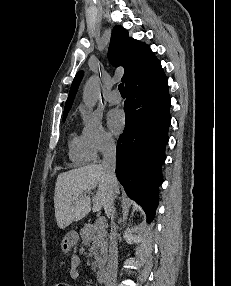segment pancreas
<instances>
[{
	"label": "pancreas",
	"instance_id": "obj_1",
	"mask_svg": "<svg viewBox=\"0 0 231 286\" xmlns=\"http://www.w3.org/2000/svg\"><path fill=\"white\" fill-rule=\"evenodd\" d=\"M81 238L84 245L89 246L90 255L93 257L92 267L101 268L105 264L107 257V230L98 228L96 225L85 224L81 229Z\"/></svg>",
	"mask_w": 231,
	"mask_h": 286
}]
</instances>
